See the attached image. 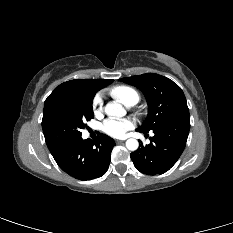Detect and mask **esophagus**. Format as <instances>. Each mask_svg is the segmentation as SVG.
<instances>
[{
  "label": "esophagus",
  "mask_w": 233,
  "mask_h": 233,
  "mask_svg": "<svg viewBox=\"0 0 233 233\" xmlns=\"http://www.w3.org/2000/svg\"><path fill=\"white\" fill-rule=\"evenodd\" d=\"M123 141L122 140H116V143L117 144H120V143H122Z\"/></svg>",
  "instance_id": "34e87169"
}]
</instances>
